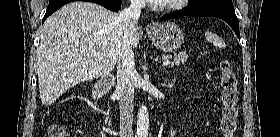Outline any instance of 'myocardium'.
Returning a JSON list of instances; mask_svg holds the SVG:
<instances>
[{
  "label": "myocardium",
  "mask_w": 280,
  "mask_h": 137,
  "mask_svg": "<svg viewBox=\"0 0 280 137\" xmlns=\"http://www.w3.org/2000/svg\"><path fill=\"white\" fill-rule=\"evenodd\" d=\"M184 2L185 0H173L172 2L165 5H152V6L157 11H169L181 7Z\"/></svg>",
  "instance_id": "f54148a6"
}]
</instances>
